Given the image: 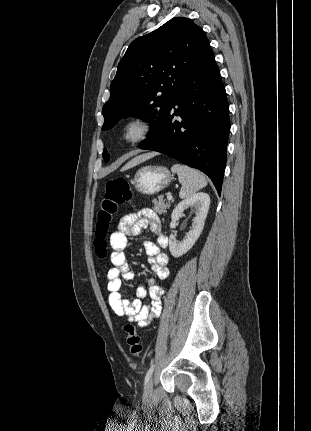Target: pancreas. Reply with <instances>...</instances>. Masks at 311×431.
Listing matches in <instances>:
<instances>
[{
  "label": "pancreas",
  "instance_id": "1",
  "mask_svg": "<svg viewBox=\"0 0 311 431\" xmlns=\"http://www.w3.org/2000/svg\"><path fill=\"white\" fill-rule=\"evenodd\" d=\"M170 202H174V200H168V202H165L164 196L154 198V200H152V204H154V212H157V214H166L167 210H169L171 206Z\"/></svg>",
  "mask_w": 311,
  "mask_h": 431
}]
</instances>
